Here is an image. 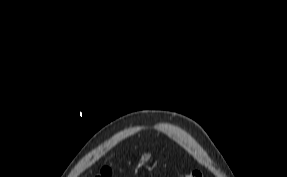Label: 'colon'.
<instances>
[{"mask_svg":"<svg viewBox=\"0 0 287 177\" xmlns=\"http://www.w3.org/2000/svg\"><path fill=\"white\" fill-rule=\"evenodd\" d=\"M111 175L112 172L109 168H103L94 177H111ZM183 177H203V175L199 170H192Z\"/></svg>","mask_w":287,"mask_h":177,"instance_id":"5ec220e1","label":"colon"}]
</instances>
